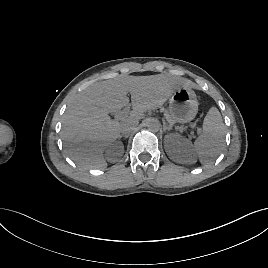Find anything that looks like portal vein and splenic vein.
<instances>
[{
  "label": "portal vein and splenic vein",
  "mask_w": 268,
  "mask_h": 268,
  "mask_svg": "<svg viewBox=\"0 0 268 268\" xmlns=\"http://www.w3.org/2000/svg\"><path fill=\"white\" fill-rule=\"evenodd\" d=\"M127 114V111H121L119 114H118V116L117 117H123L124 115H126Z\"/></svg>",
  "instance_id": "18ae733b"
}]
</instances>
